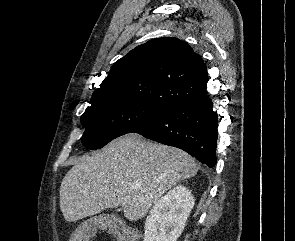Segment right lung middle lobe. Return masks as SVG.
I'll list each match as a JSON object with an SVG mask.
<instances>
[{"label":"right lung middle lobe","instance_id":"dd1d6c3e","mask_svg":"<svg viewBox=\"0 0 295 241\" xmlns=\"http://www.w3.org/2000/svg\"><path fill=\"white\" fill-rule=\"evenodd\" d=\"M89 103L90 106L81 116V123L85 127L81 141L92 150L102 148L164 111L113 93L93 94Z\"/></svg>","mask_w":295,"mask_h":241}]
</instances>
